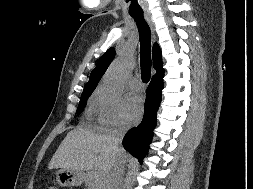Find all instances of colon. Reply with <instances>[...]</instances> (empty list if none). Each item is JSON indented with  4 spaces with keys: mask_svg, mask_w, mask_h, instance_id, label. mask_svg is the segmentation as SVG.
Returning <instances> with one entry per match:
<instances>
[{
    "mask_svg": "<svg viewBox=\"0 0 253 189\" xmlns=\"http://www.w3.org/2000/svg\"><path fill=\"white\" fill-rule=\"evenodd\" d=\"M46 189H57V188L54 186H48Z\"/></svg>",
    "mask_w": 253,
    "mask_h": 189,
    "instance_id": "1",
    "label": "colon"
}]
</instances>
